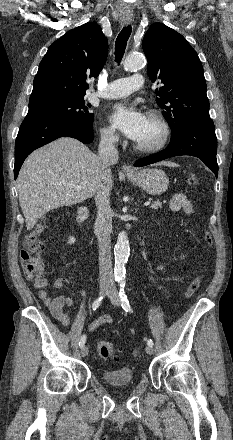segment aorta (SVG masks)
I'll return each mask as SVG.
<instances>
[{
    "label": "aorta",
    "mask_w": 233,
    "mask_h": 440,
    "mask_svg": "<svg viewBox=\"0 0 233 440\" xmlns=\"http://www.w3.org/2000/svg\"><path fill=\"white\" fill-rule=\"evenodd\" d=\"M144 65V57L142 55L133 54L129 55L124 61V69L126 71H134L141 68ZM130 254L129 241L127 233L122 231L118 235L117 243L114 248L115 265L114 275L117 280H123L125 278V264L127 263Z\"/></svg>",
    "instance_id": "aorta-1"
}]
</instances>
